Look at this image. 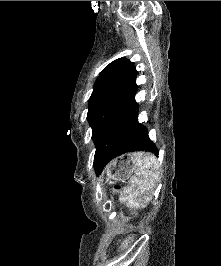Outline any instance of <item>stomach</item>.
Returning a JSON list of instances; mask_svg holds the SVG:
<instances>
[{
	"label": "stomach",
	"instance_id": "1",
	"mask_svg": "<svg viewBox=\"0 0 221 266\" xmlns=\"http://www.w3.org/2000/svg\"><path fill=\"white\" fill-rule=\"evenodd\" d=\"M137 166L133 162V154L114 160L106 168L107 176L114 181H125L133 176Z\"/></svg>",
	"mask_w": 221,
	"mask_h": 266
}]
</instances>
